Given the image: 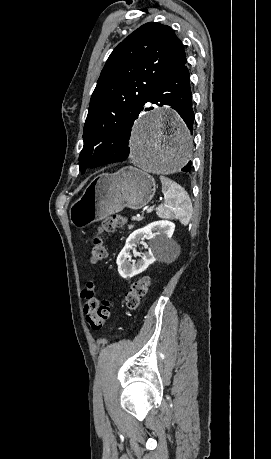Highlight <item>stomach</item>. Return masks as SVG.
Returning <instances> with one entry per match:
<instances>
[{"instance_id":"1","label":"stomach","mask_w":271,"mask_h":459,"mask_svg":"<svg viewBox=\"0 0 271 459\" xmlns=\"http://www.w3.org/2000/svg\"><path fill=\"white\" fill-rule=\"evenodd\" d=\"M155 192L154 178L133 166H125L115 174H100L72 204L71 224L75 228H86L122 212L123 208L139 210L151 202Z\"/></svg>"}]
</instances>
